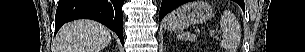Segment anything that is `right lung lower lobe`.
Here are the masks:
<instances>
[{
	"label": "right lung lower lobe",
	"instance_id": "98d812e1",
	"mask_svg": "<svg viewBox=\"0 0 305 52\" xmlns=\"http://www.w3.org/2000/svg\"><path fill=\"white\" fill-rule=\"evenodd\" d=\"M123 3L124 0H59L55 33L66 22L82 18L92 19L113 30L124 45Z\"/></svg>",
	"mask_w": 305,
	"mask_h": 52
}]
</instances>
